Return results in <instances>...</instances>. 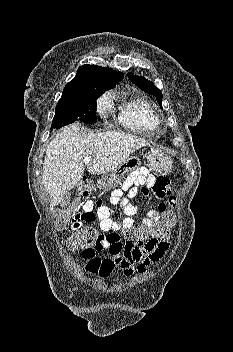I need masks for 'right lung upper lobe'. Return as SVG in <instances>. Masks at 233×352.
I'll use <instances>...</instances> for the list:
<instances>
[{
	"label": "right lung upper lobe",
	"mask_w": 233,
	"mask_h": 352,
	"mask_svg": "<svg viewBox=\"0 0 233 352\" xmlns=\"http://www.w3.org/2000/svg\"><path fill=\"white\" fill-rule=\"evenodd\" d=\"M124 73L117 72L111 68H102L95 65H82L78 68L75 78L66 84L62 95H69L87 86H99L112 89L118 84Z\"/></svg>",
	"instance_id": "1"
}]
</instances>
